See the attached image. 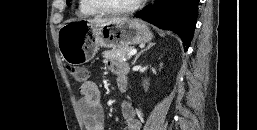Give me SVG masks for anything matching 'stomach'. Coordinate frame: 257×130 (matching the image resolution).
<instances>
[{
  "label": "stomach",
  "instance_id": "stomach-1",
  "mask_svg": "<svg viewBox=\"0 0 257 130\" xmlns=\"http://www.w3.org/2000/svg\"><path fill=\"white\" fill-rule=\"evenodd\" d=\"M151 39V32L138 19L122 18L102 24L68 20L58 31V48L63 60L74 65L92 60L100 47L120 48Z\"/></svg>",
  "mask_w": 257,
  "mask_h": 130
}]
</instances>
